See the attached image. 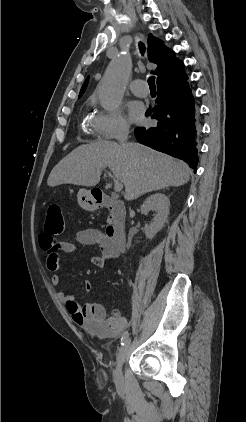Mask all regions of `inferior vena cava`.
<instances>
[{
    "label": "inferior vena cava",
    "mask_w": 246,
    "mask_h": 422,
    "mask_svg": "<svg viewBox=\"0 0 246 422\" xmlns=\"http://www.w3.org/2000/svg\"><path fill=\"white\" fill-rule=\"evenodd\" d=\"M129 129L124 128L119 135L117 136V139L119 140L120 144L123 147H127V139H128Z\"/></svg>",
    "instance_id": "obj_1"
}]
</instances>
